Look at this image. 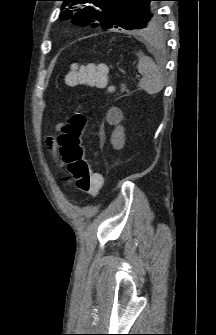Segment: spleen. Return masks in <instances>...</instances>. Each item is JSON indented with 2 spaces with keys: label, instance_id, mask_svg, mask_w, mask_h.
<instances>
[{
  "label": "spleen",
  "instance_id": "obj_1",
  "mask_svg": "<svg viewBox=\"0 0 216 335\" xmlns=\"http://www.w3.org/2000/svg\"><path fill=\"white\" fill-rule=\"evenodd\" d=\"M138 72L143 76L139 87L149 95L159 93L164 86V76L154 61L143 54L138 55Z\"/></svg>",
  "mask_w": 216,
  "mask_h": 335
}]
</instances>
